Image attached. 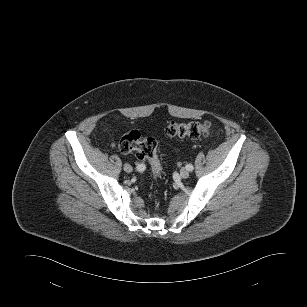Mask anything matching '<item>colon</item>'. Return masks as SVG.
Returning a JSON list of instances; mask_svg holds the SVG:
<instances>
[{
  "mask_svg": "<svg viewBox=\"0 0 307 307\" xmlns=\"http://www.w3.org/2000/svg\"><path fill=\"white\" fill-rule=\"evenodd\" d=\"M210 131L211 125L208 122H171L166 128L168 136L192 139L208 136ZM119 150L123 154L134 153L139 160L148 161L152 167L154 179L160 178L162 167L157 155V142L154 138H142L138 131H130L121 138Z\"/></svg>",
  "mask_w": 307,
  "mask_h": 307,
  "instance_id": "colon-1",
  "label": "colon"
}]
</instances>
